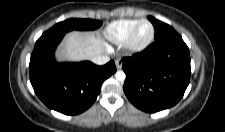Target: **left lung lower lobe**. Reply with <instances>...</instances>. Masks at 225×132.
<instances>
[{
	"mask_svg": "<svg viewBox=\"0 0 225 132\" xmlns=\"http://www.w3.org/2000/svg\"><path fill=\"white\" fill-rule=\"evenodd\" d=\"M152 24L161 21L148 17ZM124 92L138 109L153 113L174 106L190 80L189 49L180 35L157 40L144 51L122 59Z\"/></svg>",
	"mask_w": 225,
	"mask_h": 132,
	"instance_id": "obj_1",
	"label": "left lung lower lobe"
}]
</instances>
